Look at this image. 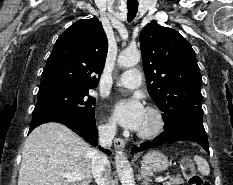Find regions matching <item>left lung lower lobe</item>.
Returning <instances> with one entry per match:
<instances>
[{
  "label": "left lung lower lobe",
  "instance_id": "left-lung-lower-lobe-1",
  "mask_svg": "<svg viewBox=\"0 0 233 185\" xmlns=\"http://www.w3.org/2000/svg\"><path fill=\"white\" fill-rule=\"evenodd\" d=\"M202 117V107L197 106L186 112L171 126L165 128V130L153 141H148L141 144L139 147H134L132 148V151L147 150L168 142L192 141L200 144L209 153V145Z\"/></svg>",
  "mask_w": 233,
  "mask_h": 185
}]
</instances>
